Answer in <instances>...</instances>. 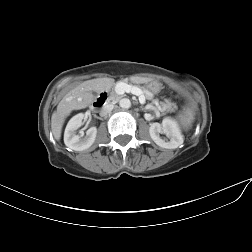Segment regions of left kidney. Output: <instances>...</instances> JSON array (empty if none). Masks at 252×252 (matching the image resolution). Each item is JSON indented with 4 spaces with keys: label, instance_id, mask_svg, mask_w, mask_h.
Masks as SVG:
<instances>
[{
    "label": "left kidney",
    "instance_id": "5707ae66",
    "mask_svg": "<svg viewBox=\"0 0 252 252\" xmlns=\"http://www.w3.org/2000/svg\"><path fill=\"white\" fill-rule=\"evenodd\" d=\"M149 134L152 140L162 148L175 149L183 143L178 124L170 118L163 119L162 124L157 122L151 124ZM160 134H165L167 138L161 137Z\"/></svg>",
    "mask_w": 252,
    "mask_h": 252
}]
</instances>
